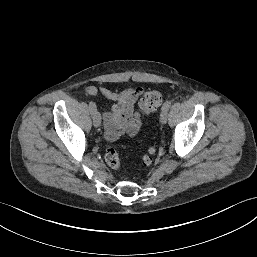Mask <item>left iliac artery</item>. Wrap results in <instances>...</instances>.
Returning <instances> with one entry per match:
<instances>
[{
	"label": "left iliac artery",
	"mask_w": 257,
	"mask_h": 257,
	"mask_svg": "<svg viewBox=\"0 0 257 257\" xmlns=\"http://www.w3.org/2000/svg\"><path fill=\"white\" fill-rule=\"evenodd\" d=\"M170 106H171V101L170 100H167L164 104H163V106H162V111H168L169 110V108H170Z\"/></svg>",
	"instance_id": "obj_1"
}]
</instances>
